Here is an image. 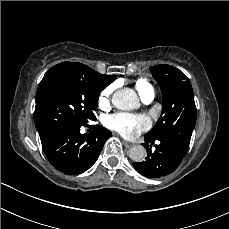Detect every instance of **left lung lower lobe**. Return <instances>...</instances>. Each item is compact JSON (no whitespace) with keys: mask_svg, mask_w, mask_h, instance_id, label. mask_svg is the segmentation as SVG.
<instances>
[{"mask_svg":"<svg viewBox=\"0 0 229 229\" xmlns=\"http://www.w3.org/2000/svg\"><path fill=\"white\" fill-rule=\"evenodd\" d=\"M147 158L140 163H133L134 168L147 178H158L172 173L181 163L188 149L173 140L144 136ZM150 144V145H149ZM154 145L155 151H151Z\"/></svg>","mask_w":229,"mask_h":229,"instance_id":"left-lung-lower-lobe-1","label":"left lung lower lobe"}]
</instances>
